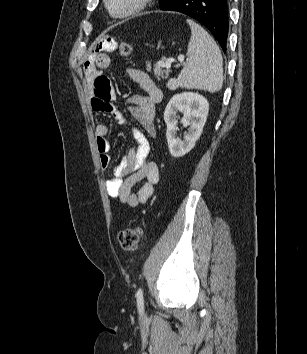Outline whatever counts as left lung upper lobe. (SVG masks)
Masks as SVG:
<instances>
[{
	"label": "left lung upper lobe",
	"instance_id": "obj_1",
	"mask_svg": "<svg viewBox=\"0 0 307 354\" xmlns=\"http://www.w3.org/2000/svg\"><path fill=\"white\" fill-rule=\"evenodd\" d=\"M170 0H159V6L164 7Z\"/></svg>",
	"mask_w": 307,
	"mask_h": 354
}]
</instances>
